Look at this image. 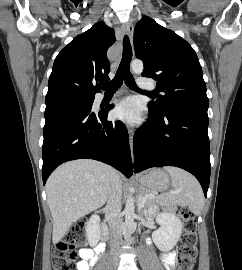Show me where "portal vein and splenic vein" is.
I'll return each mask as SVG.
<instances>
[{
    "mask_svg": "<svg viewBox=\"0 0 242 270\" xmlns=\"http://www.w3.org/2000/svg\"><path fill=\"white\" fill-rule=\"evenodd\" d=\"M153 196H145L140 200V204L139 207L142 208L144 206L145 201L147 200V198H152Z\"/></svg>",
    "mask_w": 242,
    "mask_h": 270,
    "instance_id": "1",
    "label": "portal vein and splenic vein"
}]
</instances>
